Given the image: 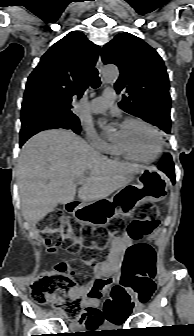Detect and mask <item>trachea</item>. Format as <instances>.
I'll use <instances>...</instances> for the list:
<instances>
[{"label":"trachea","instance_id":"1","mask_svg":"<svg viewBox=\"0 0 194 336\" xmlns=\"http://www.w3.org/2000/svg\"><path fill=\"white\" fill-rule=\"evenodd\" d=\"M88 77H89L92 88L96 89L100 86L101 81H100L98 70L96 68H93L90 70Z\"/></svg>","mask_w":194,"mask_h":336}]
</instances>
